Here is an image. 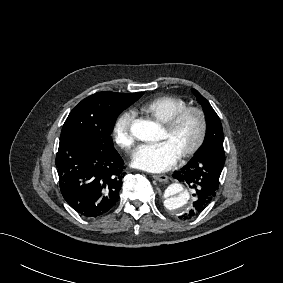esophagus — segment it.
Masks as SVG:
<instances>
[{
	"mask_svg": "<svg viewBox=\"0 0 283 283\" xmlns=\"http://www.w3.org/2000/svg\"><path fill=\"white\" fill-rule=\"evenodd\" d=\"M152 177L159 182H165L168 180V176L162 174H154Z\"/></svg>",
	"mask_w": 283,
	"mask_h": 283,
	"instance_id": "34e87169",
	"label": "esophagus"
}]
</instances>
